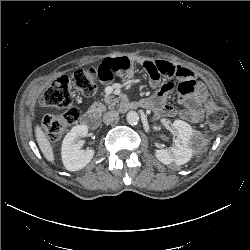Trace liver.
I'll use <instances>...</instances> for the list:
<instances>
[{
	"instance_id": "6515ba94",
	"label": "liver",
	"mask_w": 250,
	"mask_h": 250,
	"mask_svg": "<svg viewBox=\"0 0 250 250\" xmlns=\"http://www.w3.org/2000/svg\"><path fill=\"white\" fill-rule=\"evenodd\" d=\"M35 135H36V140L39 145V148L41 152L43 153L44 157L49 161V162H54V153H53V148L46 137L45 133L41 129L39 125H36L35 127Z\"/></svg>"
}]
</instances>
